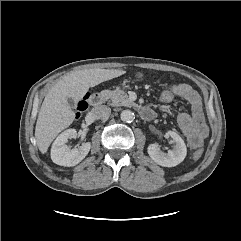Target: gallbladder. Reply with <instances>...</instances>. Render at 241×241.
<instances>
[{
  "instance_id": "gallbladder-1",
  "label": "gallbladder",
  "mask_w": 241,
  "mask_h": 241,
  "mask_svg": "<svg viewBox=\"0 0 241 241\" xmlns=\"http://www.w3.org/2000/svg\"><path fill=\"white\" fill-rule=\"evenodd\" d=\"M67 103L72 109H76V101L73 98H67Z\"/></svg>"
}]
</instances>
